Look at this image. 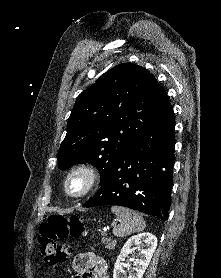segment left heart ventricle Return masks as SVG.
Segmentation results:
<instances>
[{"label": "left heart ventricle", "mask_w": 221, "mask_h": 278, "mask_svg": "<svg viewBox=\"0 0 221 278\" xmlns=\"http://www.w3.org/2000/svg\"><path fill=\"white\" fill-rule=\"evenodd\" d=\"M81 186H82V179L80 177H76L70 183V190L75 192L79 190Z\"/></svg>", "instance_id": "left-heart-ventricle-1"}]
</instances>
